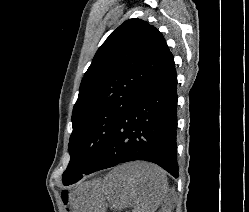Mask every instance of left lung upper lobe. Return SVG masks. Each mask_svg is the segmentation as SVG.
Masks as SVG:
<instances>
[{"instance_id":"obj_1","label":"left lung upper lobe","mask_w":249,"mask_h":212,"mask_svg":"<svg viewBox=\"0 0 249 212\" xmlns=\"http://www.w3.org/2000/svg\"><path fill=\"white\" fill-rule=\"evenodd\" d=\"M169 52L162 34L141 19L125 21L100 46L73 108L64 185L73 184L95 165L118 120Z\"/></svg>"}]
</instances>
